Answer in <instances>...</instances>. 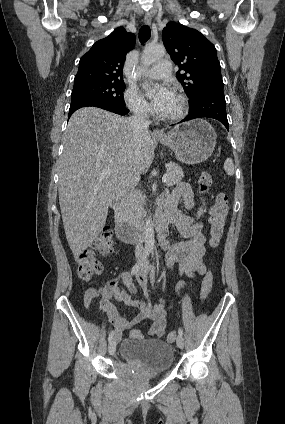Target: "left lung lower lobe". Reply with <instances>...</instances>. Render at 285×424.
I'll list each match as a JSON object with an SVG mask.
<instances>
[{"instance_id": "obj_1", "label": "left lung lower lobe", "mask_w": 285, "mask_h": 424, "mask_svg": "<svg viewBox=\"0 0 285 424\" xmlns=\"http://www.w3.org/2000/svg\"><path fill=\"white\" fill-rule=\"evenodd\" d=\"M189 110V115L181 122L209 117L220 121L229 130L223 89H212L201 93L194 102L189 104Z\"/></svg>"}]
</instances>
